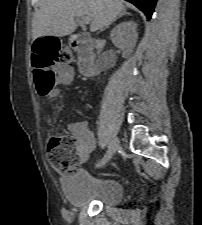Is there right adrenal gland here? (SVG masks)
I'll use <instances>...</instances> for the list:
<instances>
[{"instance_id":"2a0ac1e0","label":"right adrenal gland","mask_w":202,"mask_h":225,"mask_svg":"<svg viewBox=\"0 0 202 225\" xmlns=\"http://www.w3.org/2000/svg\"><path fill=\"white\" fill-rule=\"evenodd\" d=\"M125 15H130V13H125ZM121 16H119L118 18H120ZM117 18V19H118ZM115 21H116V19H115ZM109 27V25H107L105 28H103V29H101L100 31H103V30H105V29H107Z\"/></svg>"}]
</instances>
